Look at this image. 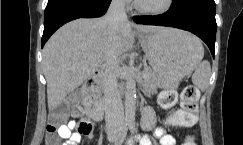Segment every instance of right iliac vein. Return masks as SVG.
Masks as SVG:
<instances>
[{
  "instance_id": "obj_1",
  "label": "right iliac vein",
  "mask_w": 243,
  "mask_h": 145,
  "mask_svg": "<svg viewBox=\"0 0 243 145\" xmlns=\"http://www.w3.org/2000/svg\"><path fill=\"white\" fill-rule=\"evenodd\" d=\"M108 139L110 142H115L117 140V136L115 134H111L109 135Z\"/></svg>"
}]
</instances>
